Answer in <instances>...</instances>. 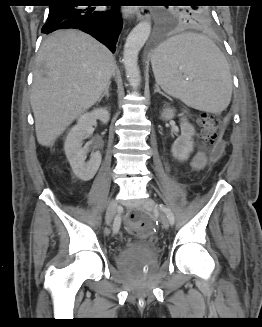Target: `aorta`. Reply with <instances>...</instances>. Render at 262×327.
<instances>
[{"instance_id": "1", "label": "aorta", "mask_w": 262, "mask_h": 327, "mask_svg": "<svg viewBox=\"0 0 262 327\" xmlns=\"http://www.w3.org/2000/svg\"><path fill=\"white\" fill-rule=\"evenodd\" d=\"M151 33V24L142 21L129 33L123 52V64L126 76L135 85L140 83V70L138 67V54Z\"/></svg>"}]
</instances>
